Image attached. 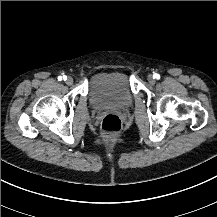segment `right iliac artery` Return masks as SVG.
<instances>
[{
    "mask_svg": "<svg viewBox=\"0 0 217 217\" xmlns=\"http://www.w3.org/2000/svg\"><path fill=\"white\" fill-rule=\"evenodd\" d=\"M62 79H63V80H66V79H67V76L63 75V76H59V77H58V80H59V81H61Z\"/></svg>",
    "mask_w": 217,
    "mask_h": 217,
    "instance_id": "82829eb1",
    "label": "right iliac artery"
}]
</instances>
